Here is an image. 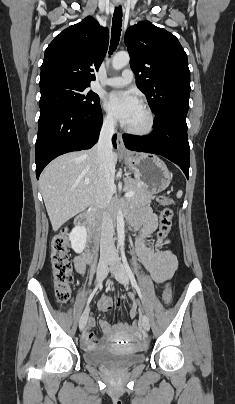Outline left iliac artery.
Masks as SVG:
<instances>
[{"label":"left iliac artery","mask_w":235,"mask_h":404,"mask_svg":"<svg viewBox=\"0 0 235 404\" xmlns=\"http://www.w3.org/2000/svg\"><path fill=\"white\" fill-rule=\"evenodd\" d=\"M121 254H122L123 264H124L125 270H126V272L128 274V277L130 278L131 284L135 288V290L137 291L140 299L142 300V293H141L140 287L138 286V284L136 282V279H135V276H134L131 268L128 265V262H127V259L125 257V253H124L123 248L121 249Z\"/></svg>","instance_id":"1"}]
</instances>
